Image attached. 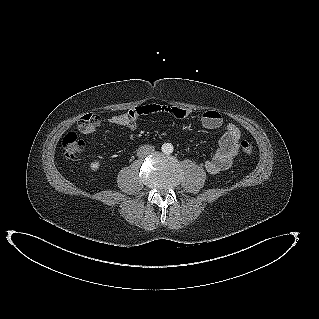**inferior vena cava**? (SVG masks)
Here are the masks:
<instances>
[{
    "instance_id": "602c4592",
    "label": "inferior vena cava",
    "mask_w": 319,
    "mask_h": 319,
    "mask_svg": "<svg viewBox=\"0 0 319 319\" xmlns=\"http://www.w3.org/2000/svg\"><path fill=\"white\" fill-rule=\"evenodd\" d=\"M155 148L152 145H143L141 147L138 148V156L139 157H146L152 153H154Z\"/></svg>"
}]
</instances>
